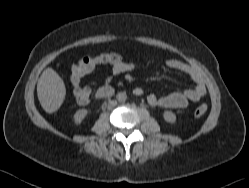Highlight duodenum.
<instances>
[{"label":"duodenum","mask_w":249,"mask_h":188,"mask_svg":"<svg viewBox=\"0 0 249 188\" xmlns=\"http://www.w3.org/2000/svg\"><path fill=\"white\" fill-rule=\"evenodd\" d=\"M113 92H114V90H113L112 87H110V86H102L96 91V97L99 98V99L108 98V97L113 95ZM135 94L136 95H141V91L139 89H137L135 91Z\"/></svg>","instance_id":"410a0bca"}]
</instances>
